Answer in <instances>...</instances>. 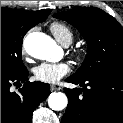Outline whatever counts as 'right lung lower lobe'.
Listing matches in <instances>:
<instances>
[{
    "label": "right lung lower lobe",
    "mask_w": 123,
    "mask_h": 123,
    "mask_svg": "<svg viewBox=\"0 0 123 123\" xmlns=\"http://www.w3.org/2000/svg\"><path fill=\"white\" fill-rule=\"evenodd\" d=\"M28 71L1 75V123H31L33 111L50 95L49 84L28 82ZM24 83L19 92L11 86Z\"/></svg>",
    "instance_id": "obj_1"
}]
</instances>
